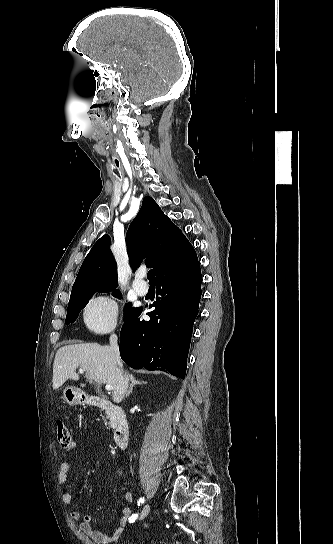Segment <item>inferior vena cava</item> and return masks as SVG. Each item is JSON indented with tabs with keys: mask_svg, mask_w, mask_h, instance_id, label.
Wrapping results in <instances>:
<instances>
[{
	"mask_svg": "<svg viewBox=\"0 0 333 544\" xmlns=\"http://www.w3.org/2000/svg\"><path fill=\"white\" fill-rule=\"evenodd\" d=\"M110 347L112 348V350L115 352L116 354V359H117V362L120 366V371L121 373L123 372L122 371V364H121V361H120V354H119V347H118V342H117V336L115 334H112L110 336Z\"/></svg>",
	"mask_w": 333,
	"mask_h": 544,
	"instance_id": "obj_1",
	"label": "inferior vena cava"
}]
</instances>
